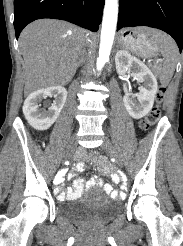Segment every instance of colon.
Wrapping results in <instances>:
<instances>
[{"label": "colon", "mask_w": 183, "mask_h": 246, "mask_svg": "<svg viewBox=\"0 0 183 246\" xmlns=\"http://www.w3.org/2000/svg\"><path fill=\"white\" fill-rule=\"evenodd\" d=\"M165 94V88L160 87L157 93V104L152 108L150 113L147 115V117L142 121L141 128L142 129H148L151 127L154 123H156L161 114L160 110V103L162 102ZM88 153L91 154L93 157H99L100 153L96 151V149H89Z\"/></svg>", "instance_id": "obj_1"}]
</instances>
